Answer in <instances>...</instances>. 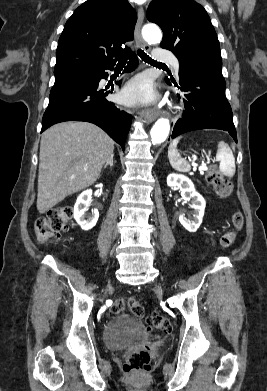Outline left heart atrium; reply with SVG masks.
<instances>
[{
	"instance_id": "left-heart-atrium-1",
	"label": "left heart atrium",
	"mask_w": 267,
	"mask_h": 391,
	"mask_svg": "<svg viewBox=\"0 0 267 391\" xmlns=\"http://www.w3.org/2000/svg\"><path fill=\"white\" fill-rule=\"evenodd\" d=\"M122 98L126 103H148L153 101L155 91L152 81L146 76L136 77L126 86Z\"/></svg>"
}]
</instances>
